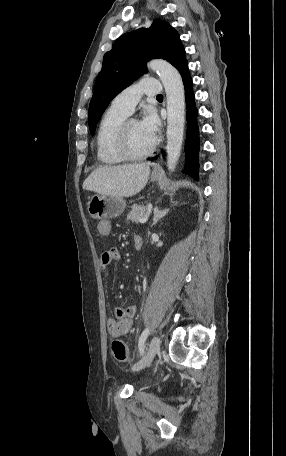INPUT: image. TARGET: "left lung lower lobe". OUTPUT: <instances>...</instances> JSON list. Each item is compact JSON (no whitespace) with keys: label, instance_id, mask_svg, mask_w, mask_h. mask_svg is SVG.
<instances>
[{"label":"left lung lower lobe","instance_id":"left-lung-lower-lobe-1","mask_svg":"<svg viewBox=\"0 0 286 456\" xmlns=\"http://www.w3.org/2000/svg\"><path fill=\"white\" fill-rule=\"evenodd\" d=\"M182 76L185 98L187 104V139L186 155L187 163L184 173L198 180V151H199V128L197 124L198 112L195 106V96L192 90V79L188 69L187 61L178 69ZM153 160V159H152Z\"/></svg>","mask_w":286,"mask_h":456}]
</instances>
